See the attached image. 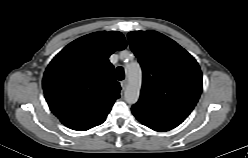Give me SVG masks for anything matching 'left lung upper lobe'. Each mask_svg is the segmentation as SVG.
Instances as JSON below:
<instances>
[{
    "label": "left lung upper lobe",
    "instance_id": "1",
    "mask_svg": "<svg viewBox=\"0 0 248 158\" xmlns=\"http://www.w3.org/2000/svg\"><path fill=\"white\" fill-rule=\"evenodd\" d=\"M128 40L143 71L140 99L132 106V113L156 131L177 127L202 91L198 63L175 41L156 31H133Z\"/></svg>",
    "mask_w": 248,
    "mask_h": 158
}]
</instances>
